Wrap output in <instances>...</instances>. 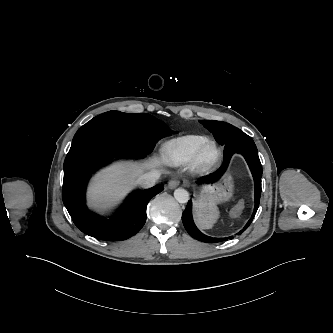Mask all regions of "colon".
<instances>
[{"instance_id":"obj_1","label":"colon","mask_w":333,"mask_h":333,"mask_svg":"<svg viewBox=\"0 0 333 333\" xmlns=\"http://www.w3.org/2000/svg\"><path fill=\"white\" fill-rule=\"evenodd\" d=\"M243 208V204L242 203H239L234 209H233V212L235 214L239 213Z\"/></svg>"}]
</instances>
